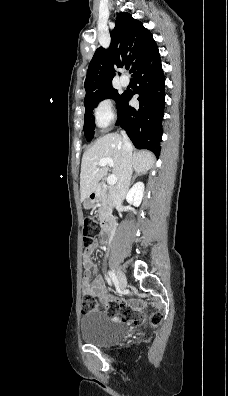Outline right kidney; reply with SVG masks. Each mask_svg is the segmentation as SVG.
<instances>
[{
  "mask_svg": "<svg viewBox=\"0 0 228 396\" xmlns=\"http://www.w3.org/2000/svg\"><path fill=\"white\" fill-rule=\"evenodd\" d=\"M144 188L145 186L143 182H137L127 193V202L135 207L140 206L143 198Z\"/></svg>",
  "mask_w": 228,
  "mask_h": 396,
  "instance_id": "1",
  "label": "right kidney"
}]
</instances>
